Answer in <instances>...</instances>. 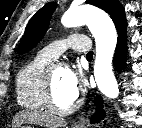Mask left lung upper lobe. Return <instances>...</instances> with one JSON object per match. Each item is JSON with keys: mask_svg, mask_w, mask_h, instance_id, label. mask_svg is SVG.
<instances>
[{"mask_svg": "<svg viewBox=\"0 0 142 128\" xmlns=\"http://www.w3.org/2000/svg\"><path fill=\"white\" fill-rule=\"evenodd\" d=\"M85 3L97 6L107 12L114 21L117 31L126 25L124 9L118 0H86ZM55 7L56 3H47L31 18L19 44L17 50L19 54L30 51L43 38Z\"/></svg>", "mask_w": 142, "mask_h": 128, "instance_id": "1", "label": "left lung upper lobe"}]
</instances>
